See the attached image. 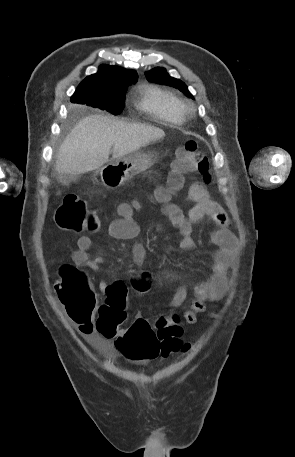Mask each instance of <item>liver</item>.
Segmentation results:
<instances>
[{"instance_id":"liver-1","label":"liver","mask_w":295,"mask_h":457,"mask_svg":"<svg viewBox=\"0 0 295 457\" xmlns=\"http://www.w3.org/2000/svg\"><path fill=\"white\" fill-rule=\"evenodd\" d=\"M164 136L162 129L152 125L90 115L80 120L62 142L55 170L67 175L93 171L109 161L112 146V160H116Z\"/></svg>"}]
</instances>
